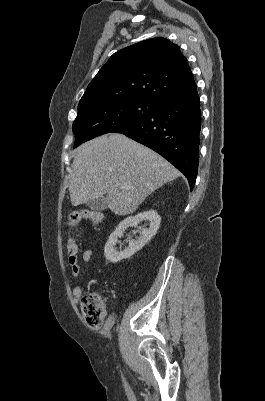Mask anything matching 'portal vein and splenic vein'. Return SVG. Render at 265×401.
<instances>
[{"label":"portal vein and splenic vein","instance_id":"18ae733b","mask_svg":"<svg viewBox=\"0 0 265 401\" xmlns=\"http://www.w3.org/2000/svg\"><path fill=\"white\" fill-rule=\"evenodd\" d=\"M117 186H118V184H117ZM121 188H126V186H121Z\"/></svg>","mask_w":265,"mask_h":401}]
</instances>
